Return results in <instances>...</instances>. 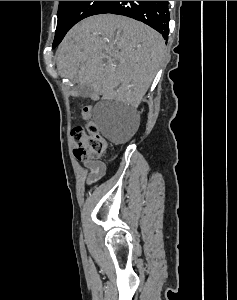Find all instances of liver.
<instances>
[{
    "label": "liver",
    "instance_id": "1",
    "mask_svg": "<svg viewBox=\"0 0 237 300\" xmlns=\"http://www.w3.org/2000/svg\"><path fill=\"white\" fill-rule=\"evenodd\" d=\"M56 55L63 77L91 75L94 93H114L138 107L162 67L165 41L140 21L94 15L72 27Z\"/></svg>",
    "mask_w": 237,
    "mask_h": 300
}]
</instances>
